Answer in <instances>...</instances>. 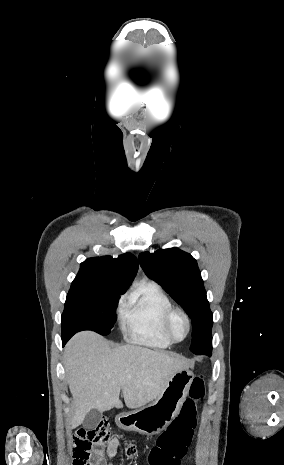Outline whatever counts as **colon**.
<instances>
[{"label": "colon", "mask_w": 284, "mask_h": 465, "mask_svg": "<svg viewBox=\"0 0 284 465\" xmlns=\"http://www.w3.org/2000/svg\"><path fill=\"white\" fill-rule=\"evenodd\" d=\"M204 397V384L201 376H195L189 386L188 397L181 406V413H177L176 420L171 421L164 431V436L158 440L157 446L151 447L149 465H180L186 457L189 447L188 438H192L195 429L196 404L202 402ZM110 439V431L106 423L98 422L80 428L73 433V461L72 465L89 464V451L93 445ZM161 445V446H159ZM130 451H133L132 446Z\"/></svg>", "instance_id": "obj_1"}]
</instances>
